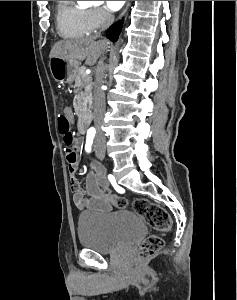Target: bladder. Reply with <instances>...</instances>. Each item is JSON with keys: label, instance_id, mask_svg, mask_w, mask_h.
<instances>
[{"label": "bladder", "instance_id": "31cf9c89", "mask_svg": "<svg viewBox=\"0 0 237 300\" xmlns=\"http://www.w3.org/2000/svg\"><path fill=\"white\" fill-rule=\"evenodd\" d=\"M145 231L139 214L119 210L109 215H84L78 223L77 236L83 247L113 254L132 245Z\"/></svg>", "mask_w": 237, "mask_h": 300}]
</instances>
